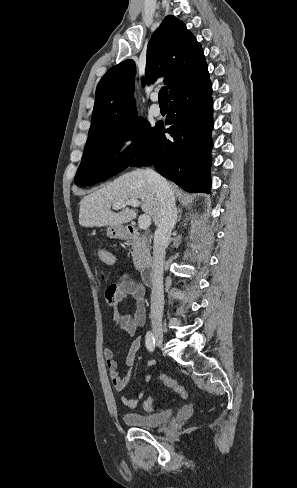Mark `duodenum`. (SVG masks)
Segmentation results:
<instances>
[{
    "label": "duodenum",
    "mask_w": 297,
    "mask_h": 488,
    "mask_svg": "<svg viewBox=\"0 0 297 488\" xmlns=\"http://www.w3.org/2000/svg\"><path fill=\"white\" fill-rule=\"evenodd\" d=\"M135 234V230L130 227L126 231V236L128 238L132 237ZM158 273V267L155 261L152 258L147 259L140 270V275L143 282L147 285H151L154 283Z\"/></svg>",
    "instance_id": "obj_1"
}]
</instances>
